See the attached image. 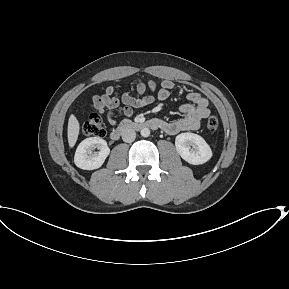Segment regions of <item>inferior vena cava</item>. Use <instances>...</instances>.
Listing matches in <instances>:
<instances>
[{"mask_svg":"<svg viewBox=\"0 0 289 289\" xmlns=\"http://www.w3.org/2000/svg\"><path fill=\"white\" fill-rule=\"evenodd\" d=\"M136 138V132L133 129H125L122 132V140L127 143H131Z\"/></svg>","mask_w":289,"mask_h":289,"instance_id":"1","label":"inferior vena cava"}]
</instances>
